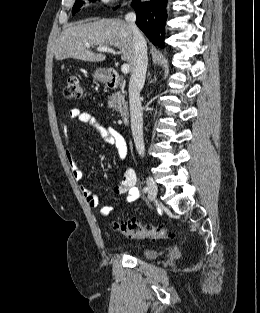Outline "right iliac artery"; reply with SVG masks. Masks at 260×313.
<instances>
[{
    "label": "right iliac artery",
    "mask_w": 260,
    "mask_h": 313,
    "mask_svg": "<svg viewBox=\"0 0 260 313\" xmlns=\"http://www.w3.org/2000/svg\"><path fill=\"white\" fill-rule=\"evenodd\" d=\"M147 191H148L147 187H144V188H143V192L146 193ZM137 192H138V191H137Z\"/></svg>",
    "instance_id": "1"
}]
</instances>
